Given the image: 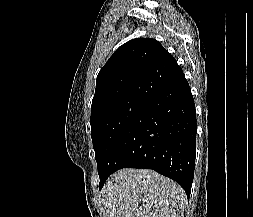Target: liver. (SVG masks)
Listing matches in <instances>:
<instances>
[{
    "label": "liver",
    "mask_w": 253,
    "mask_h": 217,
    "mask_svg": "<svg viewBox=\"0 0 253 217\" xmlns=\"http://www.w3.org/2000/svg\"><path fill=\"white\" fill-rule=\"evenodd\" d=\"M104 217H181L186 194L174 181L152 170L122 169L102 190Z\"/></svg>",
    "instance_id": "1"
}]
</instances>
